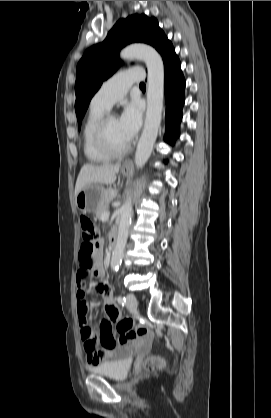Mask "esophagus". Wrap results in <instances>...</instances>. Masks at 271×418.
<instances>
[{
  "mask_svg": "<svg viewBox=\"0 0 271 418\" xmlns=\"http://www.w3.org/2000/svg\"><path fill=\"white\" fill-rule=\"evenodd\" d=\"M132 164L131 160H126L124 166H130Z\"/></svg>",
  "mask_w": 271,
  "mask_h": 418,
  "instance_id": "1",
  "label": "esophagus"
}]
</instances>
